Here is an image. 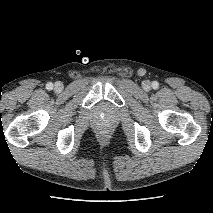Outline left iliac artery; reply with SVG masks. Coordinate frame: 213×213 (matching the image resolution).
I'll return each mask as SVG.
<instances>
[{"label":"left iliac artery","mask_w":213,"mask_h":213,"mask_svg":"<svg viewBox=\"0 0 213 213\" xmlns=\"http://www.w3.org/2000/svg\"><path fill=\"white\" fill-rule=\"evenodd\" d=\"M159 87V83L157 81L152 82V88L157 89Z\"/></svg>","instance_id":"obj_1"}]
</instances>
